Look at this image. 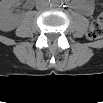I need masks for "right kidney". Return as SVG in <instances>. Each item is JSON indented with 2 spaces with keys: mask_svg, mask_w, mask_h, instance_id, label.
Here are the masks:
<instances>
[{
  "mask_svg": "<svg viewBox=\"0 0 103 103\" xmlns=\"http://www.w3.org/2000/svg\"><path fill=\"white\" fill-rule=\"evenodd\" d=\"M18 4L16 0H3L0 4V28L2 31L14 30L18 24V18L13 14L12 8Z\"/></svg>",
  "mask_w": 103,
  "mask_h": 103,
  "instance_id": "obj_1",
  "label": "right kidney"
}]
</instances>
